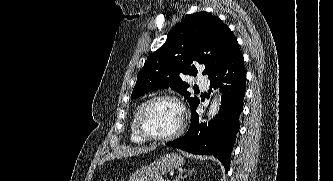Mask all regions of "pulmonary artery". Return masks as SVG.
Returning a JSON list of instances; mask_svg holds the SVG:
<instances>
[{
    "instance_id": "e3ab8cb5",
    "label": "pulmonary artery",
    "mask_w": 333,
    "mask_h": 181,
    "mask_svg": "<svg viewBox=\"0 0 333 181\" xmlns=\"http://www.w3.org/2000/svg\"><path fill=\"white\" fill-rule=\"evenodd\" d=\"M196 83L200 87L206 88L209 85L208 78L205 75H198L196 78Z\"/></svg>"
}]
</instances>
